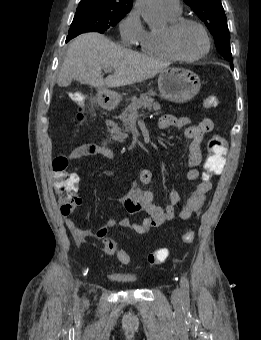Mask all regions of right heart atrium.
Here are the masks:
<instances>
[{
    "mask_svg": "<svg viewBox=\"0 0 261 340\" xmlns=\"http://www.w3.org/2000/svg\"><path fill=\"white\" fill-rule=\"evenodd\" d=\"M119 31L125 43L134 44L139 41L146 30L137 8H132L120 21Z\"/></svg>",
    "mask_w": 261,
    "mask_h": 340,
    "instance_id": "right-heart-atrium-1",
    "label": "right heart atrium"
}]
</instances>
